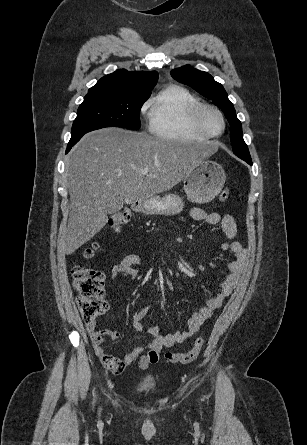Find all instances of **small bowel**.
<instances>
[{
	"label": "small bowel",
	"instance_id": "1",
	"mask_svg": "<svg viewBox=\"0 0 307 445\" xmlns=\"http://www.w3.org/2000/svg\"><path fill=\"white\" fill-rule=\"evenodd\" d=\"M190 214L196 220H203L210 226L220 227L226 240L219 246V250L223 253H232L235 256L234 259L227 263L228 274L222 279L220 290L210 298L203 307L192 314L188 320L187 328L182 331L163 335L157 327L145 328L142 321L146 317L150 307L145 306L136 311L132 315L134 329L139 333L146 332L150 334L152 341L147 347H136L132 349L126 353L122 359L111 356L103 347L105 335L116 339L119 337V333L109 330H99L96 327L95 321L88 322L87 330L94 351L103 366L109 371L119 374L126 366L133 364L137 359H139V365L142 369H146L149 365L157 363L159 354L164 348L183 343L193 337L200 330L203 323L223 305L225 299L230 296L237 286L243 272L247 252L243 245L235 240L237 235L235 219L230 214L208 213L200 208H192ZM143 261L141 255L129 254L111 268L109 276L113 279L126 278L134 280L138 275L134 266L142 264Z\"/></svg>",
	"mask_w": 307,
	"mask_h": 445
}]
</instances>
